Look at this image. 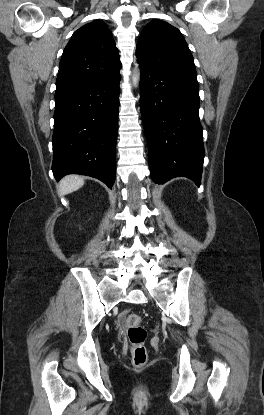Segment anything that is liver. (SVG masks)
<instances>
[{"label": "liver", "mask_w": 264, "mask_h": 415, "mask_svg": "<svg viewBox=\"0 0 264 415\" xmlns=\"http://www.w3.org/2000/svg\"><path fill=\"white\" fill-rule=\"evenodd\" d=\"M84 185V179L78 175H68L60 181V194L74 192Z\"/></svg>", "instance_id": "6515ba94"}]
</instances>
